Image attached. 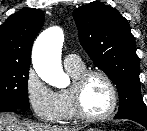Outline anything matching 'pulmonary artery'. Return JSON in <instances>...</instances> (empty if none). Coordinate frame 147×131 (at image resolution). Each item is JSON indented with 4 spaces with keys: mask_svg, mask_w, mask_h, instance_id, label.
I'll use <instances>...</instances> for the list:
<instances>
[{
    "mask_svg": "<svg viewBox=\"0 0 147 131\" xmlns=\"http://www.w3.org/2000/svg\"><path fill=\"white\" fill-rule=\"evenodd\" d=\"M82 65H83V63H82L81 59L76 54L65 55L64 66L66 68H78Z\"/></svg>",
    "mask_w": 147,
    "mask_h": 131,
    "instance_id": "e3ab8cb5",
    "label": "pulmonary artery"
}]
</instances>
